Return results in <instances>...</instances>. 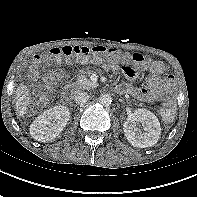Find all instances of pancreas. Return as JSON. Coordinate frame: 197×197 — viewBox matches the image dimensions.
Masks as SVG:
<instances>
[{"label":"pancreas","instance_id":"pancreas-1","mask_svg":"<svg viewBox=\"0 0 197 197\" xmlns=\"http://www.w3.org/2000/svg\"><path fill=\"white\" fill-rule=\"evenodd\" d=\"M75 86L77 87V89L89 90L91 88L96 87V84L87 79L85 75H78L77 80L75 82Z\"/></svg>","mask_w":197,"mask_h":197}]
</instances>
